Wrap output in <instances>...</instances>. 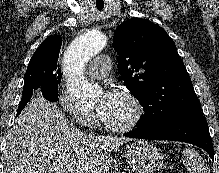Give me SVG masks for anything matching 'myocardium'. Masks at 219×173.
<instances>
[{
  "label": "myocardium",
  "instance_id": "1",
  "mask_svg": "<svg viewBox=\"0 0 219 173\" xmlns=\"http://www.w3.org/2000/svg\"><path fill=\"white\" fill-rule=\"evenodd\" d=\"M115 93L121 94L132 104L134 108V114L131 117V119L124 124H110L104 121L103 119H101V123L105 129L111 132L126 133L132 131L139 125L144 116V106L140 99L131 90L125 87H120L116 89Z\"/></svg>",
  "mask_w": 219,
  "mask_h": 173
}]
</instances>
